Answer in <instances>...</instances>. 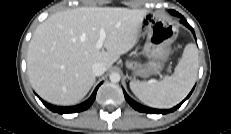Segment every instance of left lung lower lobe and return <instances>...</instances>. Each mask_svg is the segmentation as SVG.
Returning <instances> with one entry per match:
<instances>
[{"mask_svg": "<svg viewBox=\"0 0 231 134\" xmlns=\"http://www.w3.org/2000/svg\"><path fill=\"white\" fill-rule=\"evenodd\" d=\"M176 12V11H175ZM176 15L179 16L181 18V22L186 25L194 34V30L193 28L187 23V21L185 20V18L180 15L179 13L176 12ZM194 90V88L192 89V91ZM192 91L190 92V94L185 98V100L191 95ZM124 92V96L125 99L127 100V102L136 110L140 111V112H146V113H150V114H166L169 112H173L175 111L177 108H179L181 106V104L185 101L183 100L180 104H178L177 106H175L172 109L169 110H159V109H153V108H149V107H144L138 103H136L135 101H133L127 94L125 91Z\"/></svg>", "mask_w": 231, "mask_h": 134, "instance_id": "obj_1", "label": "left lung lower lobe"}]
</instances>
